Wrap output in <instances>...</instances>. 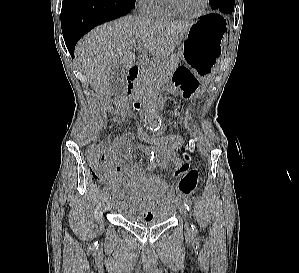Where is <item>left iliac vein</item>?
Returning <instances> with one entry per match:
<instances>
[{
  "mask_svg": "<svg viewBox=\"0 0 299 273\" xmlns=\"http://www.w3.org/2000/svg\"><path fill=\"white\" fill-rule=\"evenodd\" d=\"M179 210H180L181 214L183 215V217H184L185 219H187V218H188V212H189V211H188V209L186 208V206H185L184 204H181V205L179 206ZM185 229H186V234H187V235H190V234H191V229H190L188 223H186Z\"/></svg>",
  "mask_w": 299,
  "mask_h": 273,
  "instance_id": "obj_1",
  "label": "left iliac vein"
}]
</instances>
